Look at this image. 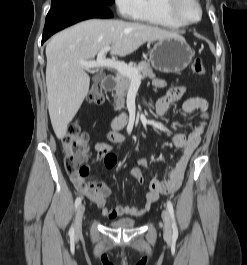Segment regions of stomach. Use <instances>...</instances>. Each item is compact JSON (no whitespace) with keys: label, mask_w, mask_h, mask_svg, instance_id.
I'll use <instances>...</instances> for the list:
<instances>
[{"label":"stomach","mask_w":247,"mask_h":265,"mask_svg":"<svg viewBox=\"0 0 247 265\" xmlns=\"http://www.w3.org/2000/svg\"><path fill=\"white\" fill-rule=\"evenodd\" d=\"M193 58L191 47L181 36L158 40L150 52L149 60L154 69L163 73L184 70Z\"/></svg>","instance_id":"1"}]
</instances>
